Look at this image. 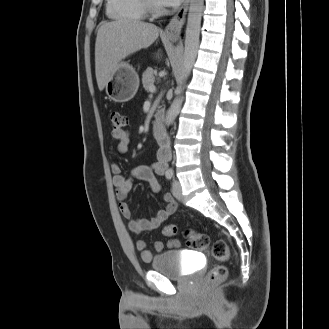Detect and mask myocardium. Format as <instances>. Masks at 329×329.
Segmentation results:
<instances>
[{"instance_id": "1", "label": "myocardium", "mask_w": 329, "mask_h": 329, "mask_svg": "<svg viewBox=\"0 0 329 329\" xmlns=\"http://www.w3.org/2000/svg\"><path fill=\"white\" fill-rule=\"evenodd\" d=\"M146 14L152 17H158L165 12L162 5L157 4L154 0H141Z\"/></svg>"}]
</instances>
